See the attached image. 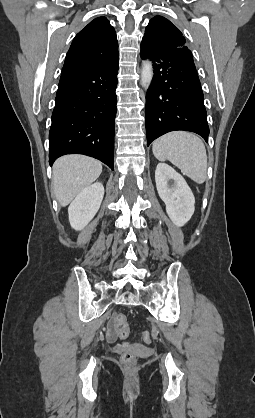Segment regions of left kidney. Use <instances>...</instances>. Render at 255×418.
Segmentation results:
<instances>
[{
  "label": "left kidney",
  "instance_id": "obj_1",
  "mask_svg": "<svg viewBox=\"0 0 255 418\" xmlns=\"http://www.w3.org/2000/svg\"><path fill=\"white\" fill-rule=\"evenodd\" d=\"M155 181L169 218L176 226H184L195 210V198L185 179L169 165L159 163L155 171Z\"/></svg>",
  "mask_w": 255,
  "mask_h": 418
}]
</instances>
